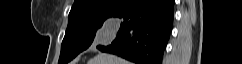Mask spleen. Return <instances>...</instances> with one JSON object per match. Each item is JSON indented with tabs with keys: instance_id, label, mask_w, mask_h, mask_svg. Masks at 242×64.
<instances>
[{
	"instance_id": "obj_1",
	"label": "spleen",
	"mask_w": 242,
	"mask_h": 64,
	"mask_svg": "<svg viewBox=\"0 0 242 64\" xmlns=\"http://www.w3.org/2000/svg\"><path fill=\"white\" fill-rule=\"evenodd\" d=\"M89 64H131V63L114 55L98 54L96 57L90 60Z\"/></svg>"
}]
</instances>
